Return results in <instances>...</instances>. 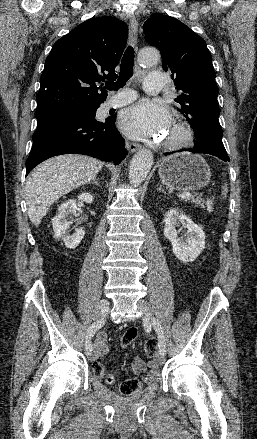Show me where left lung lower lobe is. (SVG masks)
<instances>
[{
    "mask_svg": "<svg viewBox=\"0 0 257 439\" xmlns=\"http://www.w3.org/2000/svg\"><path fill=\"white\" fill-rule=\"evenodd\" d=\"M181 151H189L193 153H205L216 156L224 161H230L229 156L225 149H219L217 147L206 145V146H194L193 149L181 150ZM170 153H164V155H169Z\"/></svg>",
    "mask_w": 257,
    "mask_h": 439,
    "instance_id": "1",
    "label": "left lung lower lobe"
}]
</instances>
